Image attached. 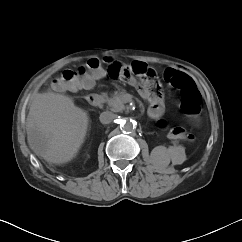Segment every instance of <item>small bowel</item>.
<instances>
[{
    "mask_svg": "<svg viewBox=\"0 0 242 242\" xmlns=\"http://www.w3.org/2000/svg\"><path fill=\"white\" fill-rule=\"evenodd\" d=\"M136 62H141V61H136ZM141 63H144V62H141ZM120 66H121V69L123 70L124 67H125L126 65L120 64ZM169 69L176 70V69H174V68H169ZM97 78H98V76H97V77H93V78H91V84L85 86V88L88 89V88L93 87V85L95 84V81H96ZM121 79L127 81L130 85H133V86L137 85V81H136V79L133 78V77H127V78H125V77H121ZM141 92H142L143 95H146V91H145V89H144L143 86H141Z\"/></svg>",
    "mask_w": 242,
    "mask_h": 242,
    "instance_id": "c3829d8e",
    "label": "small bowel"
}]
</instances>
